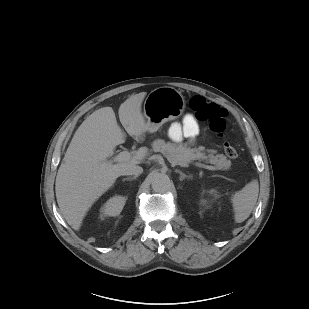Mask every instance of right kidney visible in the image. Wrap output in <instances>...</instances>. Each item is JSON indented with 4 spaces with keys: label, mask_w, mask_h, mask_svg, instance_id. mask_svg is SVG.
I'll return each mask as SVG.
<instances>
[{
    "label": "right kidney",
    "mask_w": 309,
    "mask_h": 309,
    "mask_svg": "<svg viewBox=\"0 0 309 309\" xmlns=\"http://www.w3.org/2000/svg\"><path fill=\"white\" fill-rule=\"evenodd\" d=\"M126 202V198L122 196H114L110 198L102 207H101V216H117L122 211Z\"/></svg>",
    "instance_id": "1"
}]
</instances>
